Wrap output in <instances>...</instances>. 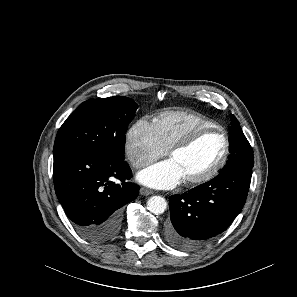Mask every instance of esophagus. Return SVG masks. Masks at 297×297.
Here are the masks:
<instances>
[{
    "mask_svg": "<svg viewBox=\"0 0 297 297\" xmlns=\"http://www.w3.org/2000/svg\"><path fill=\"white\" fill-rule=\"evenodd\" d=\"M140 194L144 195V196H147V195L153 194V191L150 190V189H147V188H141L140 189Z\"/></svg>",
    "mask_w": 297,
    "mask_h": 297,
    "instance_id": "esophagus-1",
    "label": "esophagus"
}]
</instances>
